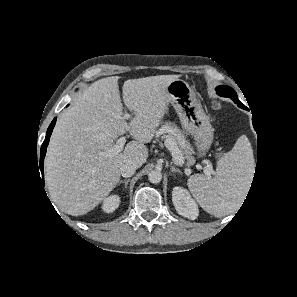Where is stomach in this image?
I'll list each match as a JSON object with an SVG mask.
<instances>
[{
	"label": "stomach",
	"mask_w": 297,
	"mask_h": 297,
	"mask_svg": "<svg viewBox=\"0 0 297 297\" xmlns=\"http://www.w3.org/2000/svg\"><path fill=\"white\" fill-rule=\"evenodd\" d=\"M182 127L195 141L199 155H205L213 140V127L189 84L181 79L170 82L166 89Z\"/></svg>",
	"instance_id": "0dacf381"
}]
</instances>
